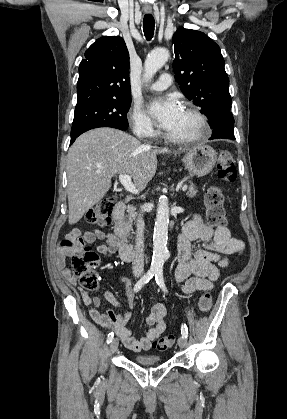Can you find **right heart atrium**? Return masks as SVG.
<instances>
[{"label":"right heart atrium","instance_id":"d8ad5b80","mask_svg":"<svg viewBox=\"0 0 287 419\" xmlns=\"http://www.w3.org/2000/svg\"><path fill=\"white\" fill-rule=\"evenodd\" d=\"M130 122L136 135L145 138H152L156 135L153 122L146 115L141 106L134 105L130 113Z\"/></svg>","mask_w":287,"mask_h":419}]
</instances>
